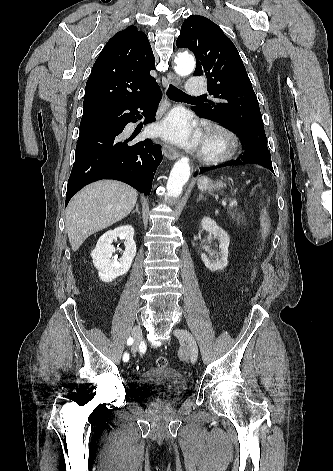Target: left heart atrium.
Segmentation results:
<instances>
[{
	"label": "left heart atrium",
	"mask_w": 333,
	"mask_h": 471,
	"mask_svg": "<svg viewBox=\"0 0 333 471\" xmlns=\"http://www.w3.org/2000/svg\"><path fill=\"white\" fill-rule=\"evenodd\" d=\"M159 132L164 137L187 147H195L201 142L200 132L181 112L171 114L160 126Z\"/></svg>",
	"instance_id": "39dd6f15"
}]
</instances>
